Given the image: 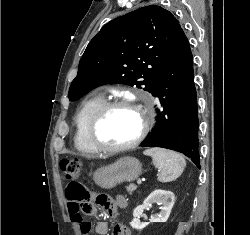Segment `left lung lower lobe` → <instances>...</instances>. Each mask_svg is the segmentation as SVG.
I'll return each instance as SVG.
<instances>
[{
    "label": "left lung lower lobe",
    "instance_id": "left-lung-lower-lobe-1",
    "mask_svg": "<svg viewBox=\"0 0 250 235\" xmlns=\"http://www.w3.org/2000/svg\"><path fill=\"white\" fill-rule=\"evenodd\" d=\"M151 93L159 98L163 109H157L155 128L141 146L181 152L200 168L193 56L183 31L161 67Z\"/></svg>",
    "mask_w": 250,
    "mask_h": 235
}]
</instances>
